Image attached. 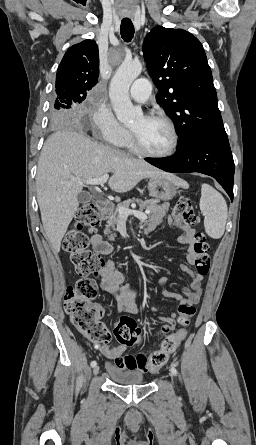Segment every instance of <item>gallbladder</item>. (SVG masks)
<instances>
[{
    "label": "gallbladder",
    "mask_w": 256,
    "mask_h": 445,
    "mask_svg": "<svg viewBox=\"0 0 256 445\" xmlns=\"http://www.w3.org/2000/svg\"><path fill=\"white\" fill-rule=\"evenodd\" d=\"M78 200L80 203H87L91 200V196L87 192H81L78 195Z\"/></svg>",
    "instance_id": "bac80fb5"
}]
</instances>
